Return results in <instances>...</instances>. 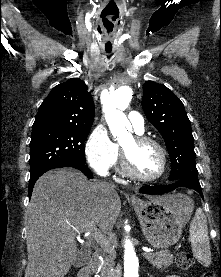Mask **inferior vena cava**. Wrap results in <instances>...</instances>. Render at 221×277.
Returning a JSON list of instances; mask_svg holds the SVG:
<instances>
[{"instance_id": "inferior-vena-cava-1", "label": "inferior vena cava", "mask_w": 221, "mask_h": 277, "mask_svg": "<svg viewBox=\"0 0 221 277\" xmlns=\"http://www.w3.org/2000/svg\"><path fill=\"white\" fill-rule=\"evenodd\" d=\"M110 186L114 187V184H110Z\"/></svg>"}]
</instances>
